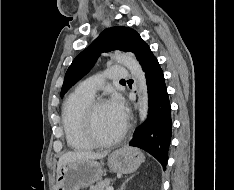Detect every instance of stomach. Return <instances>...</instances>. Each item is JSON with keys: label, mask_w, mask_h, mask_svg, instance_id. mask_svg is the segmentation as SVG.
<instances>
[{"label": "stomach", "mask_w": 234, "mask_h": 190, "mask_svg": "<svg viewBox=\"0 0 234 190\" xmlns=\"http://www.w3.org/2000/svg\"><path fill=\"white\" fill-rule=\"evenodd\" d=\"M143 161V154L128 146L116 149L108 156V166L114 173H132ZM102 176V166L95 160L68 162L57 172L56 190H79L82 187H89L99 182Z\"/></svg>", "instance_id": "stomach-1"}]
</instances>
